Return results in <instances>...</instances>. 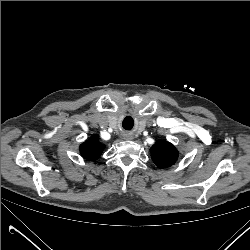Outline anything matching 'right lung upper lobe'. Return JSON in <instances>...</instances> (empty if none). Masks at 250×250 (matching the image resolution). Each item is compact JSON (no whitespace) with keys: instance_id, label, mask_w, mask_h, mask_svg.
I'll list each match as a JSON object with an SVG mask.
<instances>
[{"instance_id":"cb5924a9","label":"right lung upper lobe","mask_w":250,"mask_h":250,"mask_svg":"<svg viewBox=\"0 0 250 250\" xmlns=\"http://www.w3.org/2000/svg\"><path fill=\"white\" fill-rule=\"evenodd\" d=\"M104 148L105 145L99 143L98 137L93 135L90 139L82 143L79 149L84 158L90 161H95L100 157Z\"/></svg>"}]
</instances>
